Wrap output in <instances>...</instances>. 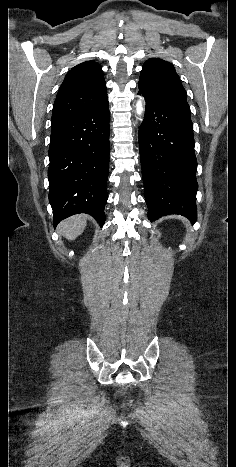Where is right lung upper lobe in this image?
I'll use <instances>...</instances> for the list:
<instances>
[{"instance_id": "1", "label": "right lung upper lobe", "mask_w": 236, "mask_h": 467, "mask_svg": "<svg viewBox=\"0 0 236 467\" xmlns=\"http://www.w3.org/2000/svg\"><path fill=\"white\" fill-rule=\"evenodd\" d=\"M107 99L106 84L100 65L86 61L66 75L56 96L51 125L79 116Z\"/></svg>"}]
</instances>
